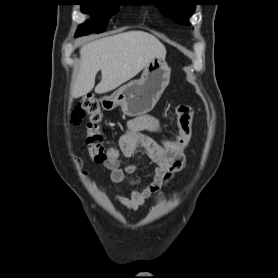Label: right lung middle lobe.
Returning a JSON list of instances; mask_svg holds the SVG:
<instances>
[{
	"instance_id": "dd1d6c3e",
	"label": "right lung middle lobe",
	"mask_w": 278,
	"mask_h": 278,
	"mask_svg": "<svg viewBox=\"0 0 278 278\" xmlns=\"http://www.w3.org/2000/svg\"><path fill=\"white\" fill-rule=\"evenodd\" d=\"M120 0H80L82 12L92 14L96 18V23L89 22L81 25L76 36L88 35L91 32H102L109 19L118 12Z\"/></svg>"
}]
</instances>
